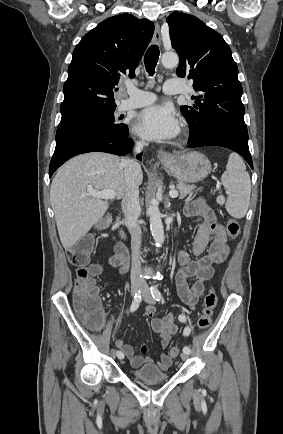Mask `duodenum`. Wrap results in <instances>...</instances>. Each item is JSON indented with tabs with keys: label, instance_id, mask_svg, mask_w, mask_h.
Listing matches in <instances>:
<instances>
[{
	"label": "duodenum",
	"instance_id": "1",
	"mask_svg": "<svg viewBox=\"0 0 283 434\" xmlns=\"http://www.w3.org/2000/svg\"><path fill=\"white\" fill-rule=\"evenodd\" d=\"M114 227H115V230L117 231L118 235L120 236V238L122 240H125L126 239V233H125V231H124V229L122 227V222H121V218L120 217H117V219L115 221ZM119 245L121 246L122 250L128 254L127 249H126L124 243H119Z\"/></svg>",
	"mask_w": 283,
	"mask_h": 434
}]
</instances>
